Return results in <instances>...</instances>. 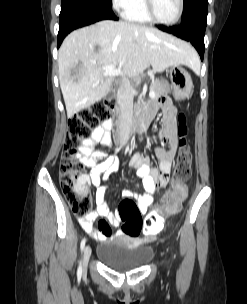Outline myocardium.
<instances>
[{
    "mask_svg": "<svg viewBox=\"0 0 247 304\" xmlns=\"http://www.w3.org/2000/svg\"><path fill=\"white\" fill-rule=\"evenodd\" d=\"M144 4H145L146 13L149 16L151 21H153L157 24H160V25L172 26V25H175L176 23H178L179 20L181 19L182 15H183V11H184L185 1L179 0L178 13H177L176 17L171 21H161L156 16L155 11H154V6H153V0H144Z\"/></svg>",
    "mask_w": 247,
    "mask_h": 304,
    "instance_id": "obj_1",
    "label": "myocardium"
}]
</instances>
